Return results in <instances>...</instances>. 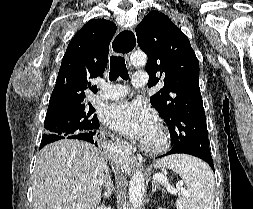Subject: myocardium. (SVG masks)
Instances as JSON below:
<instances>
[{"instance_id":"obj_1","label":"myocardium","mask_w":253,"mask_h":209,"mask_svg":"<svg viewBox=\"0 0 253 209\" xmlns=\"http://www.w3.org/2000/svg\"><path fill=\"white\" fill-rule=\"evenodd\" d=\"M158 138L155 142L145 140L142 149L151 154H158L165 151L170 144V135L167 127L160 121H155Z\"/></svg>"}]
</instances>
